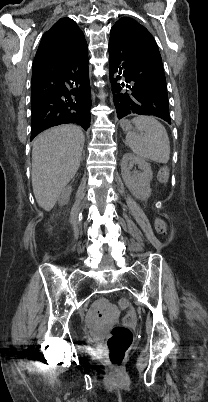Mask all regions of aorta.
Returning <instances> with one entry per match:
<instances>
[{
  "label": "aorta",
  "instance_id": "1",
  "mask_svg": "<svg viewBox=\"0 0 208 402\" xmlns=\"http://www.w3.org/2000/svg\"><path fill=\"white\" fill-rule=\"evenodd\" d=\"M101 94H103V92H101ZM101 98H105V96H101Z\"/></svg>",
  "mask_w": 208,
  "mask_h": 402
}]
</instances>
